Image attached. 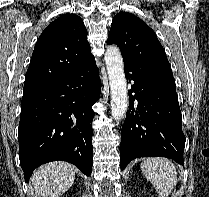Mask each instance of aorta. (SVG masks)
<instances>
[{"label": "aorta", "instance_id": "aorta-1", "mask_svg": "<svg viewBox=\"0 0 209 197\" xmlns=\"http://www.w3.org/2000/svg\"><path fill=\"white\" fill-rule=\"evenodd\" d=\"M105 63L111 90V114L115 120H121L127 111L129 101L124 63L117 46L107 48Z\"/></svg>", "mask_w": 209, "mask_h": 197}]
</instances>
